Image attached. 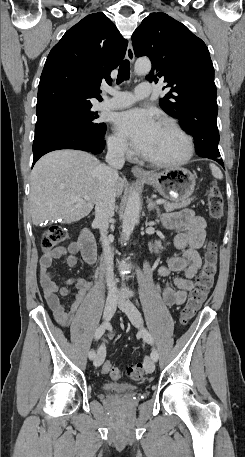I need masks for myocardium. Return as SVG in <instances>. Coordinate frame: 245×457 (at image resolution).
<instances>
[{
	"instance_id": "myocardium-1",
	"label": "myocardium",
	"mask_w": 245,
	"mask_h": 457,
	"mask_svg": "<svg viewBox=\"0 0 245 457\" xmlns=\"http://www.w3.org/2000/svg\"><path fill=\"white\" fill-rule=\"evenodd\" d=\"M160 127H163L169 131H172L179 135L183 141V150L182 153L179 156L176 157H163V158H156L152 157L146 154H143L144 160L157 165V166H162V167H169V166H177L184 164L192 155L193 152V142L191 137L183 131L179 126H177L175 123L169 121V120H164L161 122Z\"/></svg>"
}]
</instances>
